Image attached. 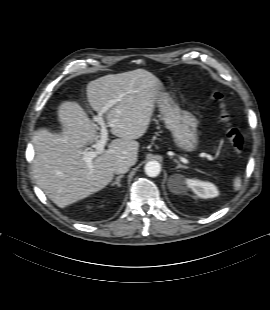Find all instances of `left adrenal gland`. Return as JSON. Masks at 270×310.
Wrapping results in <instances>:
<instances>
[{"instance_id":"left-adrenal-gland-1","label":"left adrenal gland","mask_w":270,"mask_h":310,"mask_svg":"<svg viewBox=\"0 0 270 310\" xmlns=\"http://www.w3.org/2000/svg\"><path fill=\"white\" fill-rule=\"evenodd\" d=\"M173 161L175 162V163H177V169L178 168H184V169H187L188 167L187 166H184V165H182L177 159H173Z\"/></svg>"}]
</instances>
